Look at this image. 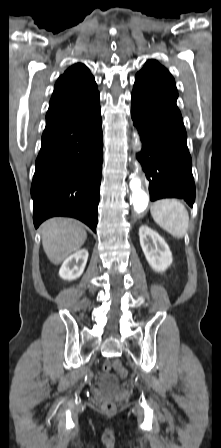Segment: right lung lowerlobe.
I'll use <instances>...</instances> for the list:
<instances>
[{"label":"right lung lower lobe","instance_id":"obj_1","mask_svg":"<svg viewBox=\"0 0 221 448\" xmlns=\"http://www.w3.org/2000/svg\"><path fill=\"white\" fill-rule=\"evenodd\" d=\"M101 124L99 92L46 120L31 185L35 228L47 218L68 216L96 232L103 150Z\"/></svg>","mask_w":221,"mask_h":448}]
</instances>
